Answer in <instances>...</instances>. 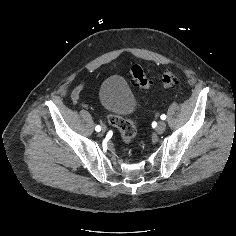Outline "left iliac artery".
I'll return each mask as SVG.
<instances>
[{
    "instance_id": "1",
    "label": "left iliac artery",
    "mask_w": 236,
    "mask_h": 236,
    "mask_svg": "<svg viewBox=\"0 0 236 236\" xmlns=\"http://www.w3.org/2000/svg\"><path fill=\"white\" fill-rule=\"evenodd\" d=\"M160 118H161L162 120H165V119H166V115H165V114H162Z\"/></svg>"
}]
</instances>
